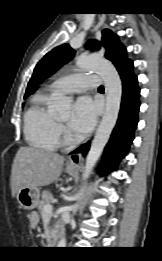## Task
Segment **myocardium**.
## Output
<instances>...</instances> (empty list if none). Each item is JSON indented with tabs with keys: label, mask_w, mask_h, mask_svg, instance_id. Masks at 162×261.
Listing matches in <instances>:
<instances>
[{
	"label": "myocardium",
	"mask_w": 162,
	"mask_h": 261,
	"mask_svg": "<svg viewBox=\"0 0 162 261\" xmlns=\"http://www.w3.org/2000/svg\"><path fill=\"white\" fill-rule=\"evenodd\" d=\"M57 121H58V125H60L61 127H64L63 122L61 120L57 119Z\"/></svg>",
	"instance_id": "1"
}]
</instances>
